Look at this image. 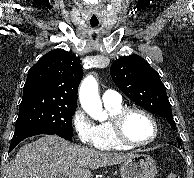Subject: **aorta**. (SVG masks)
I'll use <instances>...</instances> for the list:
<instances>
[{
    "label": "aorta",
    "mask_w": 194,
    "mask_h": 178,
    "mask_svg": "<svg viewBox=\"0 0 194 178\" xmlns=\"http://www.w3.org/2000/svg\"><path fill=\"white\" fill-rule=\"evenodd\" d=\"M79 99L82 108L93 119L104 121L107 113L103 111L102 102L98 93V83L96 79L89 75L81 83L79 88Z\"/></svg>",
    "instance_id": "1"
}]
</instances>
